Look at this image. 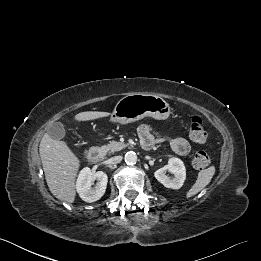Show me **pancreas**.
<instances>
[{
    "label": "pancreas",
    "instance_id": "cf45deb5",
    "mask_svg": "<svg viewBox=\"0 0 261 261\" xmlns=\"http://www.w3.org/2000/svg\"><path fill=\"white\" fill-rule=\"evenodd\" d=\"M127 145L121 142L111 141L109 144L104 145L102 148L105 152L114 153L124 149Z\"/></svg>",
    "mask_w": 261,
    "mask_h": 261
}]
</instances>
